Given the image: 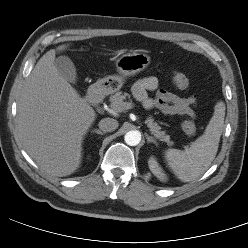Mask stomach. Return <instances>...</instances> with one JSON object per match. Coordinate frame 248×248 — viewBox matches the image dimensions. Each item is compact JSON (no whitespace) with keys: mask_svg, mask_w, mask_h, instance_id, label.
<instances>
[{"mask_svg":"<svg viewBox=\"0 0 248 248\" xmlns=\"http://www.w3.org/2000/svg\"><path fill=\"white\" fill-rule=\"evenodd\" d=\"M150 64V57L143 53H127L120 56L116 62L117 74L107 76L98 81L102 91L113 93L119 91L126 78L143 71Z\"/></svg>","mask_w":248,"mask_h":248,"instance_id":"0dacf381","label":"stomach"}]
</instances>
